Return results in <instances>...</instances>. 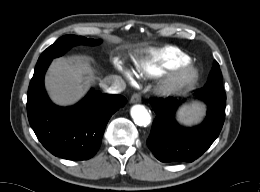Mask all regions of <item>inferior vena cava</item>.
<instances>
[{
	"label": "inferior vena cava",
	"instance_id": "602c4592",
	"mask_svg": "<svg viewBox=\"0 0 260 192\" xmlns=\"http://www.w3.org/2000/svg\"><path fill=\"white\" fill-rule=\"evenodd\" d=\"M100 87L109 94L121 93L126 88V84L123 80L119 79L117 76L110 75L105 77L101 83Z\"/></svg>",
	"mask_w": 260,
	"mask_h": 192
}]
</instances>
